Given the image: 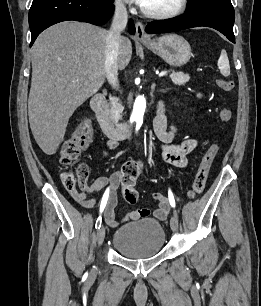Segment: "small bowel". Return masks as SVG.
<instances>
[{
    "mask_svg": "<svg viewBox=\"0 0 261 306\" xmlns=\"http://www.w3.org/2000/svg\"><path fill=\"white\" fill-rule=\"evenodd\" d=\"M154 131L161 142V157L163 161L178 168H185L188 165V155L197 148L198 140L190 138L181 143H174L176 127L168 124L162 105L159 107L154 120ZM118 143V139H109L108 145L110 148H115ZM118 181V173L112 177H98L90 184L85 185L80 191L70 189V195L80 206L91 209L95 205L93 195L101 189L106 188L105 193L106 191L108 192V198L103 208V217L109 226L117 227L119 220L116 218L115 208L118 201L116 192ZM154 199L158 202V207L153 211V216L157 220L163 221L167 218L170 211L168 199L162 193H155ZM149 214L150 211L148 209L133 210L126 215L125 219L137 220Z\"/></svg>",
    "mask_w": 261,
    "mask_h": 306,
    "instance_id": "obj_1",
    "label": "small bowel"
}]
</instances>
